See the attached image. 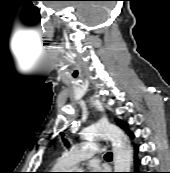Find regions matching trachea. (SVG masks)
<instances>
[{"mask_svg":"<svg viewBox=\"0 0 170 173\" xmlns=\"http://www.w3.org/2000/svg\"><path fill=\"white\" fill-rule=\"evenodd\" d=\"M111 156H112V153L111 152H108V153L105 154V157L106 158H110Z\"/></svg>","mask_w":170,"mask_h":173,"instance_id":"trachea-1","label":"trachea"}]
</instances>
